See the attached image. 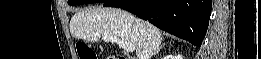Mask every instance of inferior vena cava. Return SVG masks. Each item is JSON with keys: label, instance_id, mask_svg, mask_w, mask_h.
Returning a JSON list of instances; mask_svg holds the SVG:
<instances>
[{"label": "inferior vena cava", "instance_id": "inferior-vena-cava-1", "mask_svg": "<svg viewBox=\"0 0 261 59\" xmlns=\"http://www.w3.org/2000/svg\"><path fill=\"white\" fill-rule=\"evenodd\" d=\"M136 24H137V26H140V24H139V22H138V21L136 22Z\"/></svg>", "mask_w": 261, "mask_h": 59}]
</instances>
